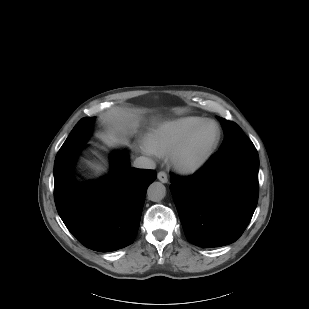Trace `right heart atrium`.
Returning <instances> with one entry per match:
<instances>
[{"label": "right heart atrium", "instance_id": "obj_1", "mask_svg": "<svg viewBox=\"0 0 309 309\" xmlns=\"http://www.w3.org/2000/svg\"><path fill=\"white\" fill-rule=\"evenodd\" d=\"M142 151L147 155L152 154L151 150L147 146L143 147Z\"/></svg>", "mask_w": 309, "mask_h": 309}]
</instances>
